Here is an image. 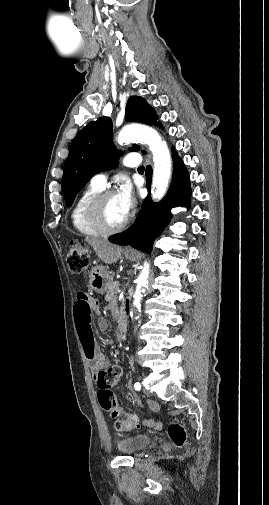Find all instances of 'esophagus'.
I'll use <instances>...</instances> for the list:
<instances>
[{"instance_id":"34e87169","label":"esophagus","mask_w":269,"mask_h":505,"mask_svg":"<svg viewBox=\"0 0 269 505\" xmlns=\"http://www.w3.org/2000/svg\"><path fill=\"white\" fill-rule=\"evenodd\" d=\"M125 251H126V252H133V249H132V248H130V247H126V248H125Z\"/></svg>"}]
</instances>
